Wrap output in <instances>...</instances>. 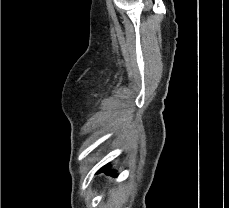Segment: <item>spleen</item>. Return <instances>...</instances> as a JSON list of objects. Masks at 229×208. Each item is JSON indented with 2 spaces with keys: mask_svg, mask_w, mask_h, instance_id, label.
I'll list each match as a JSON object with an SVG mask.
<instances>
[{
  "mask_svg": "<svg viewBox=\"0 0 229 208\" xmlns=\"http://www.w3.org/2000/svg\"><path fill=\"white\" fill-rule=\"evenodd\" d=\"M112 194V206L113 208H122L123 204H125L126 192L122 186H118L116 192H110Z\"/></svg>",
  "mask_w": 229,
  "mask_h": 208,
  "instance_id": "3e777b00",
  "label": "spleen"
}]
</instances>
